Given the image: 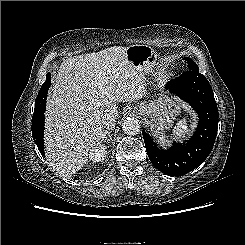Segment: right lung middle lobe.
I'll use <instances>...</instances> for the list:
<instances>
[{"label": "right lung middle lobe", "mask_w": 245, "mask_h": 245, "mask_svg": "<svg viewBox=\"0 0 245 245\" xmlns=\"http://www.w3.org/2000/svg\"><path fill=\"white\" fill-rule=\"evenodd\" d=\"M51 84V77L50 73H47L46 75V81L43 83L41 89L38 92V96L35 101V110L34 111H41V109L45 108L46 106V98L48 89Z\"/></svg>", "instance_id": "1"}]
</instances>
